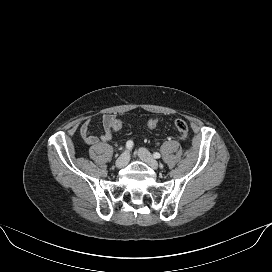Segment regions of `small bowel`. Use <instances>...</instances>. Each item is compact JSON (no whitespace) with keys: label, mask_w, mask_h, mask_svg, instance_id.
I'll list each match as a JSON object with an SVG mask.
<instances>
[{"label":"small bowel","mask_w":272,"mask_h":272,"mask_svg":"<svg viewBox=\"0 0 272 272\" xmlns=\"http://www.w3.org/2000/svg\"><path fill=\"white\" fill-rule=\"evenodd\" d=\"M115 119H116V116L114 114H104L102 116V124L104 128V133L101 134L100 136L94 135L90 131L91 126L95 119L91 117L85 120L80 127V135L82 139L84 140V142L87 145L92 146V145L98 144L99 142H106L111 140L113 137L112 124Z\"/></svg>","instance_id":"c3829d8e"}]
</instances>
